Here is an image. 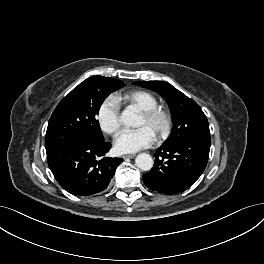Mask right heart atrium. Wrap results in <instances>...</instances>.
I'll list each match as a JSON object with an SVG mask.
<instances>
[{"label":"right heart atrium","instance_id":"right-heart-atrium-1","mask_svg":"<svg viewBox=\"0 0 264 264\" xmlns=\"http://www.w3.org/2000/svg\"><path fill=\"white\" fill-rule=\"evenodd\" d=\"M99 127L107 134L115 135L120 127V106L113 96L106 97L99 105L96 113Z\"/></svg>","mask_w":264,"mask_h":264}]
</instances>
